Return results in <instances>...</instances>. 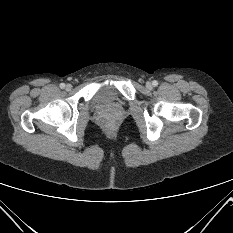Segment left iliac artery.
Wrapping results in <instances>:
<instances>
[{"label":"left iliac artery","mask_w":233,"mask_h":233,"mask_svg":"<svg viewBox=\"0 0 233 233\" xmlns=\"http://www.w3.org/2000/svg\"><path fill=\"white\" fill-rule=\"evenodd\" d=\"M152 85L156 87V86L158 85V82H157L156 80H154V81L152 82Z\"/></svg>","instance_id":"left-iliac-artery-1"}]
</instances>
